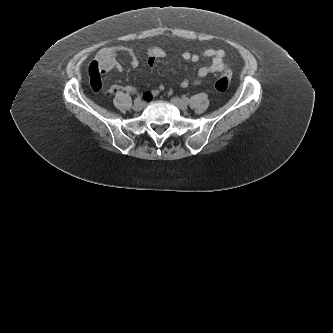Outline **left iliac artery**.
Masks as SVG:
<instances>
[{"mask_svg":"<svg viewBox=\"0 0 333 333\" xmlns=\"http://www.w3.org/2000/svg\"><path fill=\"white\" fill-rule=\"evenodd\" d=\"M184 99L188 102V98L184 97Z\"/></svg>","mask_w":333,"mask_h":333,"instance_id":"obj_1","label":"left iliac artery"}]
</instances>
